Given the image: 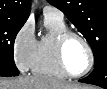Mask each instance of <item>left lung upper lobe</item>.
Segmentation results:
<instances>
[{"mask_svg":"<svg viewBox=\"0 0 107 89\" xmlns=\"http://www.w3.org/2000/svg\"><path fill=\"white\" fill-rule=\"evenodd\" d=\"M60 9L90 44L94 65L107 57V0H47Z\"/></svg>","mask_w":107,"mask_h":89,"instance_id":"5c2ea615","label":"left lung upper lobe"}]
</instances>
